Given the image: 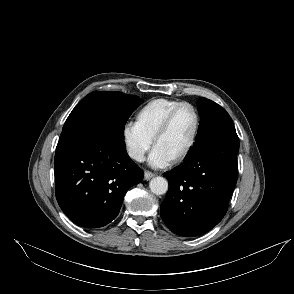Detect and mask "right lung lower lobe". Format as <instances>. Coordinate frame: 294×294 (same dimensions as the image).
Listing matches in <instances>:
<instances>
[{
	"mask_svg": "<svg viewBox=\"0 0 294 294\" xmlns=\"http://www.w3.org/2000/svg\"><path fill=\"white\" fill-rule=\"evenodd\" d=\"M56 198L74 223L102 227L114 220L127 190L143 171L128 156L122 140L79 141L56 149Z\"/></svg>",
	"mask_w": 294,
	"mask_h": 294,
	"instance_id": "1",
	"label": "right lung lower lobe"
}]
</instances>
